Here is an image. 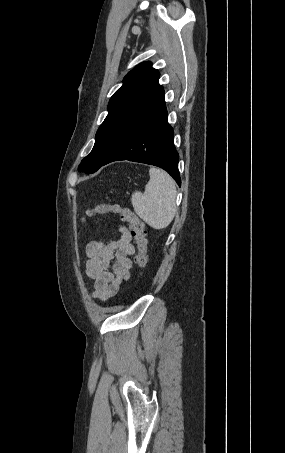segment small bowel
I'll use <instances>...</instances> for the list:
<instances>
[{"label": "small bowel", "instance_id": "c3829d8e", "mask_svg": "<svg viewBox=\"0 0 285 453\" xmlns=\"http://www.w3.org/2000/svg\"><path fill=\"white\" fill-rule=\"evenodd\" d=\"M119 230L121 236L117 239L92 240L86 246L85 270L93 280L92 295L99 300L114 296L130 278V257L135 254V247L131 232L124 226Z\"/></svg>", "mask_w": 285, "mask_h": 453}]
</instances>
